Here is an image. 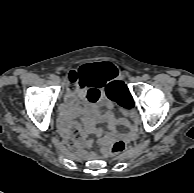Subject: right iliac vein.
<instances>
[{
  "label": "right iliac vein",
  "mask_w": 194,
  "mask_h": 193,
  "mask_svg": "<svg viewBox=\"0 0 194 193\" xmlns=\"http://www.w3.org/2000/svg\"><path fill=\"white\" fill-rule=\"evenodd\" d=\"M53 81L56 83V84H59L60 83V78L58 76H55V78L53 79Z\"/></svg>",
  "instance_id": "63e3f726"
}]
</instances>
